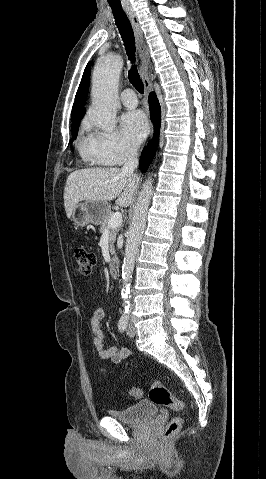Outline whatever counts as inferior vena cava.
Masks as SVG:
<instances>
[{"label": "inferior vena cava", "instance_id": "1", "mask_svg": "<svg viewBox=\"0 0 266 479\" xmlns=\"http://www.w3.org/2000/svg\"><path fill=\"white\" fill-rule=\"evenodd\" d=\"M137 150L133 147L129 148L124 156V166L122 167V172L125 174H133L134 170L137 168L138 161Z\"/></svg>", "mask_w": 266, "mask_h": 479}]
</instances>
